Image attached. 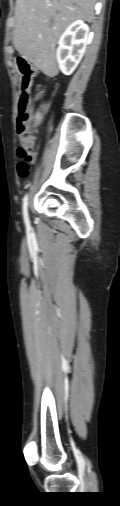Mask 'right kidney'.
Segmentation results:
<instances>
[{"label":"right kidney","instance_id":"ca27d5eb","mask_svg":"<svg viewBox=\"0 0 120 506\" xmlns=\"http://www.w3.org/2000/svg\"><path fill=\"white\" fill-rule=\"evenodd\" d=\"M89 42V27L82 20L71 23L59 39L56 58L60 70L70 75L85 52Z\"/></svg>","mask_w":120,"mask_h":506}]
</instances>
